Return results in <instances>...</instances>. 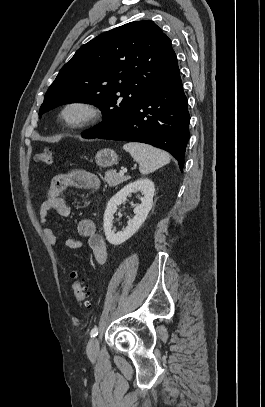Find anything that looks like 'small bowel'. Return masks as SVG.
Masks as SVG:
<instances>
[{
	"label": "small bowel",
	"instance_id": "c3829d8e",
	"mask_svg": "<svg viewBox=\"0 0 265 407\" xmlns=\"http://www.w3.org/2000/svg\"><path fill=\"white\" fill-rule=\"evenodd\" d=\"M100 184V178L97 175L82 170L58 174L52 179L39 210L43 234L51 245L56 242V234L48 224L49 212L54 211L62 217L70 215V208L62 196L63 192L69 187L96 190ZM77 233L86 238V242L68 237L65 240V246L74 250L87 247L92 252L96 262L103 265L107 260V247L104 238L97 231L94 220L88 217L80 219L77 224Z\"/></svg>",
	"mask_w": 265,
	"mask_h": 407
}]
</instances>
